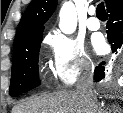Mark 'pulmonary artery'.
Listing matches in <instances>:
<instances>
[{"mask_svg":"<svg viewBox=\"0 0 123 113\" xmlns=\"http://www.w3.org/2000/svg\"><path fill=\"white\" fill-rule=\"evenodd\" d=\"M89 15L90 17L88 18L86 24L88 29L92 30V31H96L99 30L101 27V23L99 21V19L97 17H95V8L91 7L89 9Z\"/></svg>","mask_w":123,"mask_h":113,"instance_id":"1","label":"pulmonary artery"}]
</instances>
